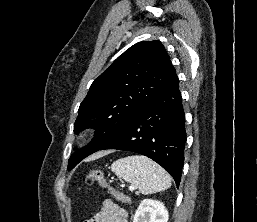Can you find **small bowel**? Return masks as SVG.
I'll use <instances>...</instances> for the list:
<instances>
[{
	"label": "small bowel",
	"instance_id": "c3829d8e",
	"mask_svg": "<svg viewBox=\"0 0 257 222\" xmlns=\"http://www.w3.org/2000/svg\"><path fill=\"white\" fill-rule=\"evenodd\" d=\"M85 222H128L126 211L111 199L103 202L102 209Z\"/></svg>",
	"mask_w": 257,
	"mask_h": 222
}]
</instances>
